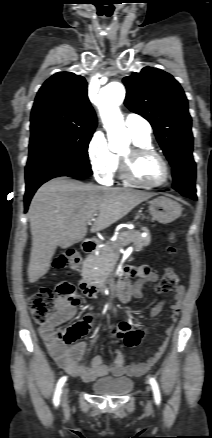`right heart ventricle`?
I'll return each instance as SVG.
<instances>
[{
    "instance_id": "e07e8e85",
    "label": "right heart ventricle",
    "mask_w": 212,
    "mask_h": 438,
    "mask_svg": "<svg viewBox=\"0 0 212 438\" xmlns=\"http://www.w3.org/2000/svg\"><path fill=\"white\" fill-rule=\"evenodd\" d=\"M133 142L135 145L138 146H142V147H151L152 146V140L151 137H141V136H135V135H131ZM115 155V159H116V167L115 170H119V160H120V156L117 154Z\"/></svg>"
}]
</instances>
